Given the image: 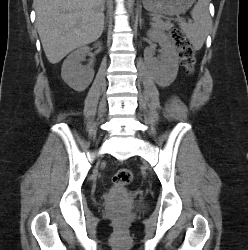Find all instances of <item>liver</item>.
Instances as JSON below:
<instances>
[{"label": "liver", "instance_id": "obj_1", "mask_svg": "<svg viewBox=\"0 0 248 250\" xmlns=\"http://www.w3.org/2000/svg\"><path fill=\"white\" fill-rule=\"evenodd\" d=\"M105 0H34L36 27L48 61L60 62L96 41L104 29Z\"/></svg>", "mask_w": 248, "mask_h": 250}]
</instances>
